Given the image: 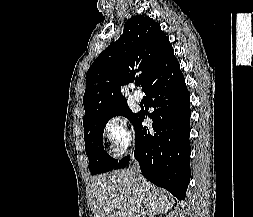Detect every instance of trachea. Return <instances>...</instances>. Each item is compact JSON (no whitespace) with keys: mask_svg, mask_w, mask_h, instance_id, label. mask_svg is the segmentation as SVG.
Instances as JSON below:
<instances>
[{"mask_svg":"<svg viewBox=\"0 0 253 217\" xmlns=\"http://www.w3.org/2000/svg\"><path fill=\"white\" fill-rule=\"evenodd\" d=\"M140 83H141L140 80H138V81H137V84L140 85Z\"/></svg>","mask_w":253,"mask_h":217,"instance_id":"trachea-1","label":"trachea"}]
</instances>
